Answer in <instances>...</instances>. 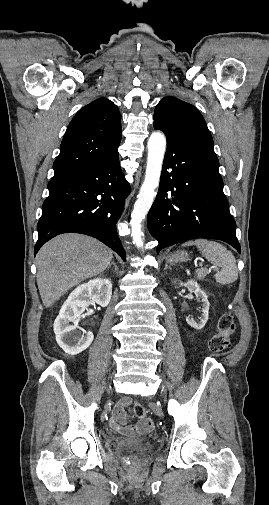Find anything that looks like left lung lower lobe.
Listing matches in <instances>:
<instances>
[{
  "instance_id": "obj_1",
  "label": "left lung lower lobe",
  "mask_w": 269,
  "mask_h": 505,
  "mask_svg": "<svg viewBox=\"0 0 269 505\" xmlns=\"http://www.w3.org/2000/svg\"><path fill=\"white\" fill-rule=\"evenodd\" d=\"M154 128L167 137L159 191L147 218L157 253L194 238L222 240L241 253L213 140L156 121Z\"/></svg>"
}]
</instances>
